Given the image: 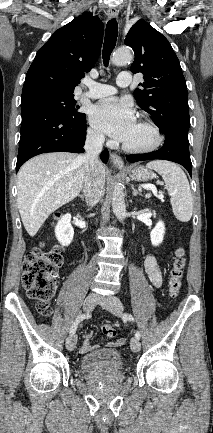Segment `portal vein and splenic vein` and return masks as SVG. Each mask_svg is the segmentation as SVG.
<instances>
[{"label": "portal vein and splenic vein", "mask_w": 213, "mask_h": 433, "mask_svg": "<svg viewBox=\"0 0 213 433\" xmlns=\"http://www.w3.org/2000/svg\"><path fill=\"white\" fill-rule=\"evenodd\" d=\"M68 186H70V184H68ZM142 187L144 189H146V190H151L153 192V194L156 197H158L159 199H163V195L162 194H160V195L157 194V189H156V187L154 185L146 184V185H142ZM149 197H150V194H147L146 198H149Z\"/></svg>", "instance_id": "obj_1"}]
</instances>
